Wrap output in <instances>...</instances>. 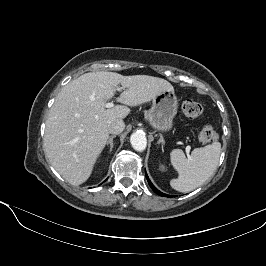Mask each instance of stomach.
Returning <instances> with one entry per match:
<instances>
[{
  "label": "stomach",
  "instance_id": "1",
  "mask_svg": "<svg viewBox=\"0 0 266 266\" xmlns=\"http://www.w3.org/2000/svg\"><path fill=\"white\" fill-rule=\"evenodd\" d=\"M177 107V98L174 92L164 91L160 93L152 100V107L148 111L149 124L159 131L171 129Z\"/></svg>",
  "mask_w": 266,
  "mask_h": 266
}]
</instances>
